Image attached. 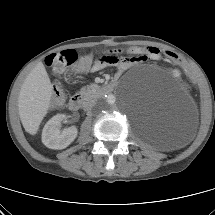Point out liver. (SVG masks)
Segmentation results:
<instances>
[{"mask_svg":"<svg viewBox=\"0 0 215 215\" xmlns=\"http://www.w3.org/2000/svg\"><path fill=\"white\" fill-rule=\"evenodd\" d=\"M53 87L42 62L36 64L24 80L18 97V111L25 131L35 135L45 117Z\"/></svg>","mask_w":215,"mask_h":215,"instance_id":"1","label":"liver"}]
</instances>
